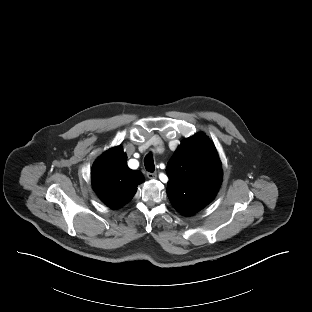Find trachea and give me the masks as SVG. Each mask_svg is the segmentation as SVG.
I'll use <instances>...</instances> for the list:
<instances>
[{
	"mask_svg": "<svg viewBox=\"0 0 312 312\" xmlns=\"http://www.w3.org/2000/svg\"><path fill=\"white\" fill-rule=\"evenodd\" d=\"M144 165H145V168H146L147 171H149V172H153L154 171L155 165H154L152 154L149 153V154H147L145 156Z\"/></svg>",
	"mask_w": 312,
	"mask_h": 312,
	"instance_id": "obj_1",
	"label": "trachea"
}]
</instances>
